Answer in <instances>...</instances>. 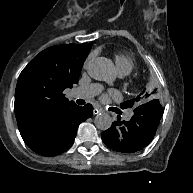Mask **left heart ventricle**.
Returning a JSON list of instances; mask_svg holds the SVG:
<instances>
[{
  "label": "left heart ventricle",
  "mask_w": 193,
  "mask_h": 193,
  "mask_svg": "<svg viewBox=\"0 0 193 193\" xmlns=\"http://www.w3.org/2000/svg\"><path fill=\"white\" fill-rule=\"evenodd\" d=\"M113 83H114L113 80H112V81L108 80V81L105 82V85H106V86H109V85H112Z\"/></svg>",
  "instance_id": "1"
}]
</instances>
